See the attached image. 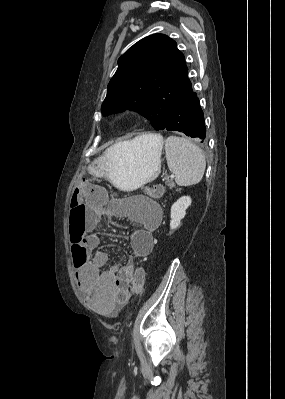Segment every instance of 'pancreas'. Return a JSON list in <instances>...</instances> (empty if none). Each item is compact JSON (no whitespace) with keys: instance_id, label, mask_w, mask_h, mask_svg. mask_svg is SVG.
Instances as JSON below:
<instances>
[{"instance_id":"obj_1","label":"pancreas","mask_w":285,"mask_h":399,"mask_svg":"<svg viewBox=\"0 0 285 399\" xmlns=\"http://www.w3.org/2000/svg\"><path fill=\"white\" fill-rule=\"evenodd\" d=\"M166 184L170 187L173 188L175 186V184L173 183L172 179H167L166 180Z\"/></svg>"}]
</instances>
